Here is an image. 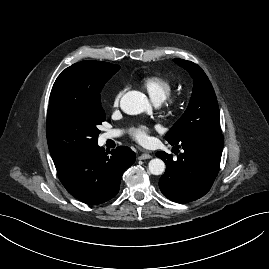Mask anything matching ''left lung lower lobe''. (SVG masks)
I'll list each match as a JSON object with an SVG mask.
<instances>
[{"mask_svg": "<svg viewBox=\"0 0 269 269\" xmlns=\"http://www.w3.org/2000/svg\"><path fill=\"white\" fill-rule=\"evenodd\" d=\"M223 144L221 131H201L176 145L184 149L176 161L166 152H157L156 156L166 164L159 180L163 195L177 203L204 196L218 174Z\"/></svg>", "mask_w": 269, "mask_h": 269, "instance_id": "1", "label": "left lung lower lobe"}]
</instances>
